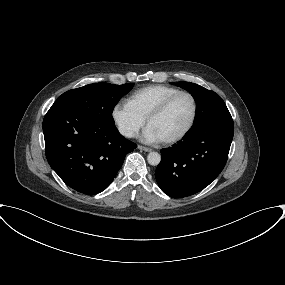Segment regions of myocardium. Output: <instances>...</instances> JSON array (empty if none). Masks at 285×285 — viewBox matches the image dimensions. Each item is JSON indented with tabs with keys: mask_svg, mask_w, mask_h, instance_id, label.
Listing matches in <instances>:
<instances>
[{
	"mask_svg": "<svg viewBox=\"0 0 285 285\" xmlns=\"http://www.w3.org/2000/svg\"><path fill=\"white\" fill-rule=\"evenodd\" d=\"M180 96H187L190 98V100L192 102V106H193L192 116H191V119H190L188 125L186 126V128L182 132H180L178 135H176L170 139L161 141L162 144H164V145L176 144V143L180 142L182 139H184L191 132V130L193 129V127L196 123L197 116H198L197 99L189 91H179V92L169 96L168 98H166L146 118V125L148 126L152 120L161 116L169 108V106Z\"/></svg>",
	"mask_w": 285,
	"mask_h": 285,
	"instance_id": "myocardium-1",
	"label": "myocardium"
}]
</instances>
